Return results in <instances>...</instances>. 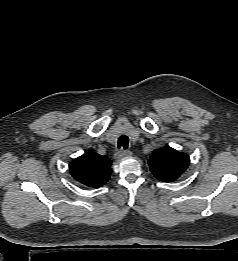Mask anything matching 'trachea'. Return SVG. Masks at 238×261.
<instances>
[{
	"label": "trachea",
	"instance_id": "1",
	"mask_svg": "<svg viewBox=\"0 0 238 261\" xmlns=\"http://www.w3.org/2000/svg\"><path fill=\"white\" fill-rule=\"evenodd\" d=\"M129 138L126 135H121L118 139V147H123V149L128 148Z\"/></svg>",
	"mask_w": 238,
	"mask_h": 261
}]
</instances>
